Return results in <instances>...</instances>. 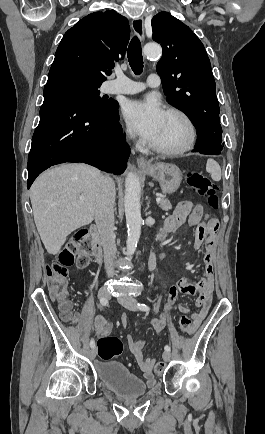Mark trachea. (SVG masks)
Segmentation results:
<instances>
[{"mask_svg":"<svg viewBox=\"0 0 265 434\" xmlns=\"http://www.w3.org/2000/svg\"><path fill=\"white\" fill-rule=\"evenodd\" d=\"M128 62L131 69L136 75H140L143 71V56L141 52V43L135 36L128 47L127 51Z\"/></svg>","mask_w":265,"mask_h":434,"instance_id":"1","label":"trachea"}]
</instances>
